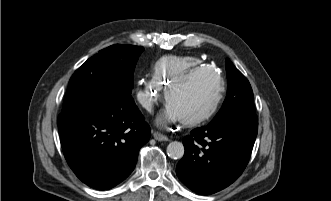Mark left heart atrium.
I'll list each match as a JSON object with an SVG mask.
<instances>
[{"mask_svg":"<svg viewBox=\"0 0 331 201\" xmlns=\"http://www.w3.org/2000/svg\"><path fill=\"white\" fill-rule=\"evenodd\" d=\"M179 119H181V116L171 105H169L166 112L158 118L157 122L158 124L163 125L166 122L176 121Z\"/></svg>","mask_w":331,"mask_h":201,"instance_id":"left-heart-atrium-1","label":"left heart atrium"}]
</instances>
